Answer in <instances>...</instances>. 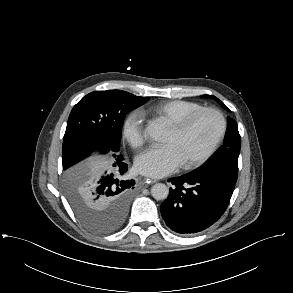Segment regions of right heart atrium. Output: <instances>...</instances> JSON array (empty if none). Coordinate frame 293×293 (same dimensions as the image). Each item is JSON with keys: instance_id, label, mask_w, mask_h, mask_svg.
I'll use <instances>...</instances> for the list:
<instances>
[{"instance_id": "right-heart-atrium-1", "label": "right heart atrium", "mask_w": 293, "mask_h": 293, "mask_svg": "<svg viewBox=\"0 0 293 293\" xmlns=\"http://www.w3.org/2000/svg\"><path fill=\"white\" fill-rule=\"evenodd\" d=\"M121 134L130 146H141L146 140L143 114L137 110L130 111L122 121Z\"/></svg>"}]
</instances>
